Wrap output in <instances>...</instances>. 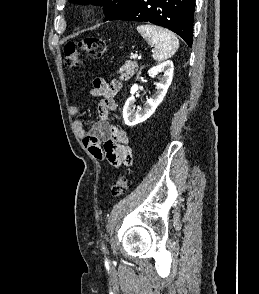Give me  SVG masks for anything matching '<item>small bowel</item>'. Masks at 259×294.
Returning <instances> with one entry per match:
<instances>
[{
	"label": "small bowel",
	"instance_id": "small-bowel-1",
	"mask_svg": "<svg viewBox=\"0 0 259 294\" xmlns=\"http://www.w3.org/2000/svg\"><path fill=\"white\" fill-rule=\"evenodd\" d=\"M121 89L118 80L107 82L97 78L93 81L90 89L91 96L99 98L98 118L86 128L82 119L73 121L74 132L82 139L84 146L98 160H107L112 166L131 165L133 160L132 150L129 146L127 133L109 121V114L116 110V94ZM80 107L72 104L69 107V114L77 116Z\"/></svg>",
	"mask_w": 259,
	"mask_h": 294
}]
</instances>
